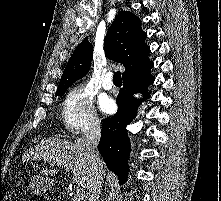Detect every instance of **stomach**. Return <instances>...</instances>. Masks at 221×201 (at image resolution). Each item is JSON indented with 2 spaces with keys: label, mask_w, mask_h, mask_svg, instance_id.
<instances>
[{
  "label": "stomach",
  "mask_w": 221,
  "mask_h": 201,
  "mask_svg": "<svg viewBox=\"0 0 221 201\" xmlns=\"http://www.w3.org/2000/svg\"><path fill=\"white\" fill-rule=\"evenodd\" d=\"M52 186V181L41 176L34 175L30 181V190L33 194H42Z\"/></svg>",
  "instance_id": "1"
}]
</instances>
